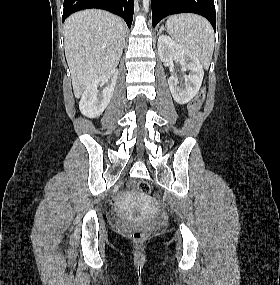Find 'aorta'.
Here are the masks:
<instances>
[{
    "label": "aorta",
    "mask_w": 280,
    "mask_h": 285,
    "mask_svg": "<svg viewBox=\"0 0 280 285\" xmlns=\"http://www.w3.org/2000/svg\"><path fill=\"white\" fill-rule=\"evenodd\" d=\"M149 2L150 0H143V9L145 12H147L149 9Z\"/></svg>",
    "instance_id": "aorta-1"
}]
</instances>
